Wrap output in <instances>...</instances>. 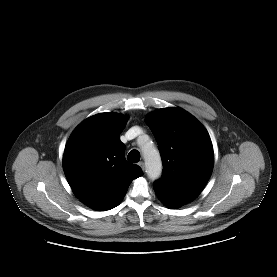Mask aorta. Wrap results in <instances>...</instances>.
Instances as JSON below:
<instances>
[{
	"mask_svg": "<svg viewBox=\"0 0 277 277\" xmlns=\"http://www.w3.org/2000/svg\"><path fill=\"white\" fill-rule=\"evenodd\" d=\"M141 150L148 177L151 180L158 179L162 173V161L159 151L152 145H144Z\"/></svg>",
	"mask_w": 277,
	"mask_h": 277,
	"instance_id": "762f6f07",
	"label": "aorta"
}]
</instances>
